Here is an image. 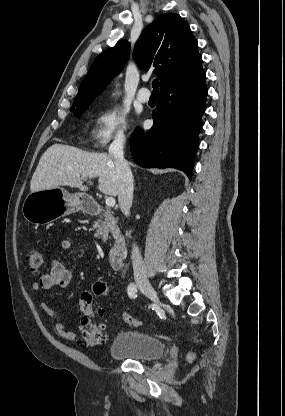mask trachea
<instances>
[{"instance_id":"3493384b","label":"trachea","mask_w":285,"mask_h":416,"mask_svg":"<svg viewBox=\"0 0 285 416\" xmlns=\"http://www.w3.org/2000/svg\"><path fill=\"white\" fill-rule=\"evenodd\" d=\"M152 88H153V92H158V90H159V80L157 78H155V80H153Z\"/></svg>"}]
</instances>
